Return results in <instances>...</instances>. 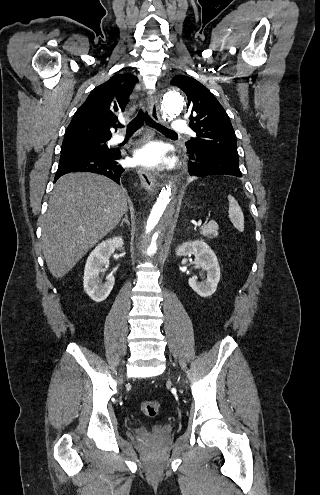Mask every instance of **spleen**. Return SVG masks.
I'll use <instances>...</instances> for the list:
<instances>
[{"instance_id":"obj_1","label":"spleen","mask_w":320,"mask_h":495,"mask_svg":"<svg viewBox=\"0 0 320 495\" xmlns=\"http://www.w3.org/2000/svg\"><path fill=\"white\" fill-rule=\"evenodd\" d=\"M228 202H229V209H228L229 219L239 232H243L244 215L242 209L239 206L238 202L235 200V198L231 195H228Z\"/></svg>"}]
</instances>
